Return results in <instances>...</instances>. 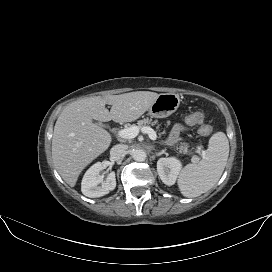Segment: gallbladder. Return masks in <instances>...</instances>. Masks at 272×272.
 Segmentation results:
<instances>
[{
    "label": "gallbladder",
    "instance_id": "bac80fb5",
    "mask_svg": "<svg viewBox=\"0 0 272 272\" xmlns=\"http://www.w3.org/2000/svg\"><path fill=\"white\" fill-rule=\"evenodd\" d=\"M97 124H98L99 126H101V127H106L105 124H102V123H100V122H97Z\"/></svg>",
    "mask_w": 272,
    "mask_h": 272
}]
</instances>
